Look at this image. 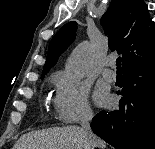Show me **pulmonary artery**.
<instances>
[{
  "label": "pulmonary artery",
  "instance_id": "e3ab8cb5",
  "mask_svg": "<svg viewBox=\"0 0 155 149\" xmlns=\"http://www.w3.org/2000/svg\"><path fill=\"white\" fill-rule=\"evenodd\" d=\"M106 67L102 70V75L110 82H114L116 80V72L112 69L115 64V60L113 57H108L106 60Z\"/></svg>",
  "mask_w": 155,
  "mask_h": 149
}]
</instances>
